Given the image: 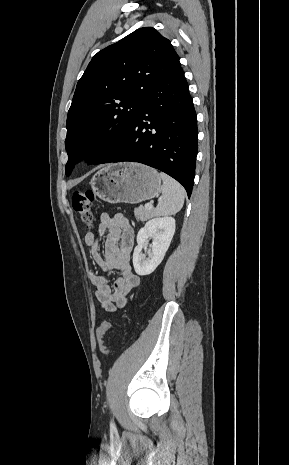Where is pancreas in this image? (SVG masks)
<instances>
[{"instance_id":"cf45deb5","label":"pancreas","mask_w":289,"mask_h":465,"mask_svg":"<svg viewBox=\"0 0 289 465\" xmlns=\"http://www.w3.org/2000/svg\"><path fill=\"white\" fill-rule=\"evenodd\" d=\"M153 210L152 209H145L143 207L135 208L134 209V215L137 220H140L142 222L148 220L150 217L153 216Z\"/></svg>"}]
</instances>
